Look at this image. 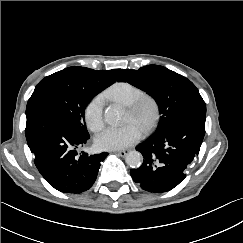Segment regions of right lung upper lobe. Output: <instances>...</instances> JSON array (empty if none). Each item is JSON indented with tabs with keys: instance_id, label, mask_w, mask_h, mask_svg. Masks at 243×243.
Instances as JSON below:
<instances>
[{
	"instance_id": "obj_1",
	"label": "right lung upper lobe",
	"mask_w": 243,
	"mask_h": 243,
	"mask_svg": "<svg viewBox=\"0 0 243 243\" xmlns=\"http://www.w3.org/2000/svg\"><path fill=\"white\" fill-rule=\"evenodd\" d=\"M65 70L71 72L78 82H82L87 85L108 84V86L113 84L123 71V69L95 71L85 67H69Z\"/></svg>"
}]
</instances>
